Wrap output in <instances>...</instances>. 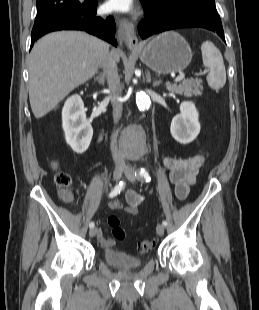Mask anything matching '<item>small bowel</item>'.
Instances as JSON below:
<instances>
[{
  "mask_svg": "<svg viewBox=\"0 0 259 310\" xmlns=\"http://www.w3.org/2000/svg\"><path fill=\"white\" fill-rule=\"evenodd\" d=\"M203 162L201 155H195L193 157H164L163 163L169 170V180L175 188V195L178 200L183 201L187 198L190 187L194 185L196 175ZM125 200L127 206L124 207V203L121 199H114L108 203V208L111 210L125 209V212L130 215H136L139 212V206L141 205L143 198L134 190H127L125 194ZM97 239L104 247L113 248L115 246V240L112 238H106L102 231L97 229Z\"/></svg>",
  "mask_w": 259,
  "mask_h": 310,
  "instance_id": "small-bowel-1",
  "label": "small bowel"
}]
</instances>
